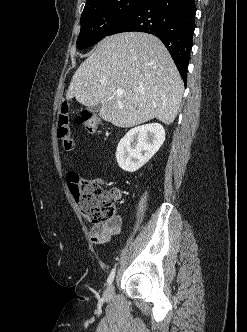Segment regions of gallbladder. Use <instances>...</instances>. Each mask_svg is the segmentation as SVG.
Listing matches in <instances>:
<instances>
[{"label": "gallbladder", "mask_w": 247, "mask_h": 332, "mask_svg": "<svg viewBox=\"0 0 247 332\" xmlns=\"http://www.w3.org/2000/svg\"><path fill=\"white\" fill-rule=\"evenodd\" d=\"M100 108H101V104L98 103L97 105H95V106L92 107V111L93 112H98L100 110Z\"/></svg>", "instance_id": "1"}]
</instances>
